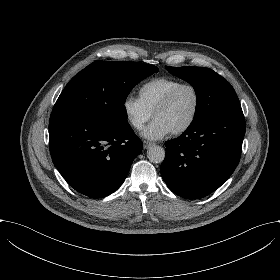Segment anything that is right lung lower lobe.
Masks as SVG:
<instances>
[{
	"instance_id": "right-lung-lower-lobe-1",
	"label": "right lung lower lobe",
	"mask_w": 280,
	"mask_h": 280,
	"mask_svg": "<svg viewBox=\"0 0 280 280\" xmlns=\"http://www.w3.org/2000/svg\"><path fill=\"white\" fill-rule=\"evenodd\" d=\"M52 161L69 185L90 198L115 192L143 144L127 121L101 120L75 110H53Z\"/></svg>"
}]
</instances>
